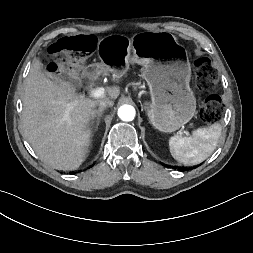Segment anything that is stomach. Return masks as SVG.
<instances>
[{"mask_svg": "<svg viewBox=\"0 0 253 253\" xmlns=\"http://www.w3.org/2000/svg\"><path fill=\"white\" fill-rule=\"evenodd\" d=\"M97 53L100 62L91 66L96 74H124L130 64L142 65L151 95L146 110L156 129L174 132L192 119L196 99L189 86L191 66L172 34L109 35L98 42Z\"/></svg>", "mask_w": 253, "mask_h": 253, "instance_id": "stomach-1", "label": "stomach"}]
</instances>
